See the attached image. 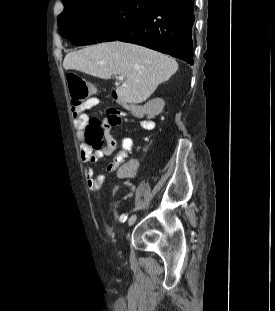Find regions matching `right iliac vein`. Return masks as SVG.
<instances>
[{"instance_id": "1", "label": "right iliac vein", "mask_w": 275, "mask_h": 311, "mask_svg": "<svg viewBox=\"0 0 275 311\" xmlns=\"http://www.w3.org/2000/svg\"><path fill=\"white\" fill-rule=\"evenodd\" d=\"M136 219H137V216H136V215H132V216L128 219V225H129V226H132V225L135 223Z\"/></svg>"}]
</instances>
